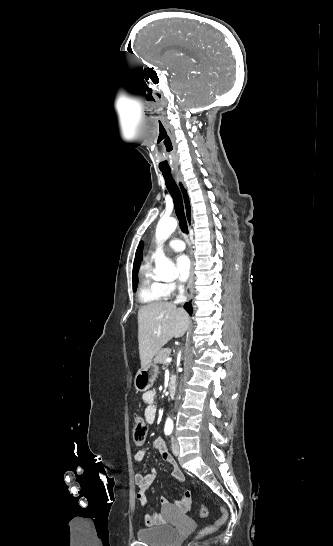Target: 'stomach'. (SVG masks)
Instances as JSON below:
<instances>
[{"label": "stomach", "instance_id": "1", "mask_svg": "<svg viewBox=\"0 0 333 546\" xmlns=\"http://www.w3.org/2000/svg\"><path fill=\"white\" fill-rule=\"evenodd\" d=\"M158 371L155 361L151 362L147 367L139 369L134 378L135 388L143 392L149 390L153 386Z\"/></svg>", "mask_w": 333, "mask_h": 546}]
</instances>
